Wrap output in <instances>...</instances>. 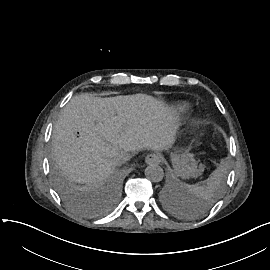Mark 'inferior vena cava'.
Masks as SVG:
<instances>
[{"label":"inferior vena cava","mask_w":270,"mask_h":270,"mask_svg":"<svg viewBox=\"0 0 270 270\" xmlns=\"http://www.w3.org/2000/svg\"><path fill=\"white\" fill-rule=\"evenodd\" d=\"M130 158H131V154L129 152L120 150L117 153V159L119 160L121 164L128 161Z\"/></svg>","instance_id":"obj_1"}]
</instances>
